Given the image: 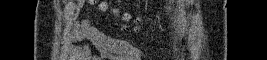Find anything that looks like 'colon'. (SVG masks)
Listing matches in <instances>:
<instances>
[{
	"mask_svg": "<svg viewBox=\"0 0 267 60\" xmlns=\"http://www.w3.org/2000/svg\"><path fill=\"white\" fill-rule=\"evenodd\" d=\"M100 10L101 11H103V12H106V11H108V8L105 6V5H100ZM110 12L113 14V16H118V12L116 11V10H110ZM123 20L125 21V25L123 26L124 27V29H129L130 28V26L128 25V23H130V20H131V17L130 16H128V15H124L123 16ZM138 23V21H134V24H135V28H136V24Z\"/></svg>",
	"mask_w": 267,
	"mask_h": 60,
	"instance_id": "1",
	"label": "colon"
}]
</instances>
